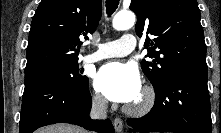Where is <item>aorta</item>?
<instances>
[{
  "mask_svg": "<svg viewBox=\"0 0 221 133\" xmlns=\"http://www.w3.org/2000/svg\"><path fill=\"white\" fill-rule=\"evenodd\" d=\"M136 17L133 12H118L112 21V26L115 30H127L135 24Z\"/></svg>",
  "mask_w": 221,
  "mask_h": 133,
  "instance_id": "762f6f07",
  "label": "aorta"
}]
</instances>
